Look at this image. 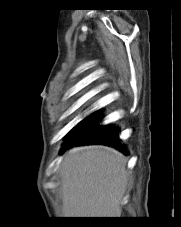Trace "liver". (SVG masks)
I'll use <instances>...</instances> for the list:
<instances>
[{
    "label": "liver",
    "mask_w": 181,
    "mask_h": 227,
    "mask_svg": "<svg viewBox=\"0 0 181 227\" xmlns=\"http://www.w3.org/2000/svg\"><path fill=\"white\" fill-rule=\"evenodd\" d=\"M127 158L101 145L67 151L61 163L64 217H120L128 184Z\"/></svg>",
    "instance_id": "obj_1"
}]
</instances>
